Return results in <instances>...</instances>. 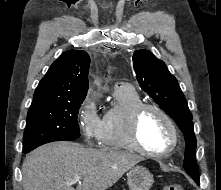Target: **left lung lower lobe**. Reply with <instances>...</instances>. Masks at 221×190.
<instances>
[{"label":"left lung lower lobe","instance_id":"left-lung-lower-lobe-1","mask_svg":"<svg viewBox=\"0 0 221 190\" xmlns=\"http://www.w3.org/2000/svg\"><path fill=\"white\" fill-rule=\"evenodd\" d=\"M198 185H200L199 179L194 180Z\"/></svg>","mask_w":221,"mask_h":190}]
</instances>
